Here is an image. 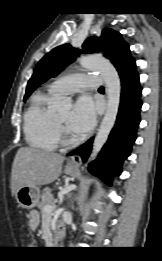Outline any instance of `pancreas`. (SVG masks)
<instances>
[{"mask_svg":"<svg viewBox=\"0 0 162 261\" xmlns=\"http://www.w3.org/2000/svg\"><path fill=\"white\" fill-rule=\"evenodd\" d=\"M53 201V195L49 188H45L41 195V202L38 204L41 214H44V207L51 204Z\"/></svg>","mask_w":162,"mask_h":261,"instance_id":"obj_1","label":"pancreas"}]
</instances>
